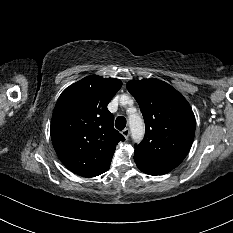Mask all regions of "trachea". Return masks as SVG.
I'll return each instance as SVG.
<instances>
[{
  "label": "trachea",
  "instance_id": "trachea-1",
  "mask_svg": "<svg viewBox=\"0 0 233 233\" xmlns=\"http://www.w3.org/2000/svg\"><path fill=\"white\" fill-rule=\"evenodd\" d=\"M126 118L123 117V116H118L116 118V121H115V127L118 129V130H123L126 126Z\"/></svg>",
  "mask_w": 233,
  "mask_h": 233
}]
</instances>
